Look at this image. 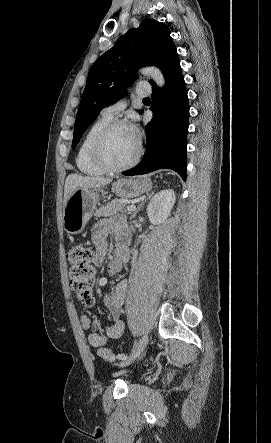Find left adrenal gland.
I'll return each mask as SVG.
<instances>
[{
    "instance_id": "obj_1",
    "label": "left adrenal gland",
    "mask_w": 271,
    "mask_h": 443,
    "mask_svg": "<svg viewBox=\"0 0 271 443\" xmlns=\"http://www.w3.org/2000/svg\"><path fill=\"white\" fill-rule=\"evenodd\" d=\"M154 192H152V194H150V196H147V198H145V200H141V204H139L136 212H134L133 216H131L130 220H133V218H135L136 214H138V212H140L142 206H144L145 202H147V200H150L151 196H153Z\"/></svg>"
}]
</instances>
